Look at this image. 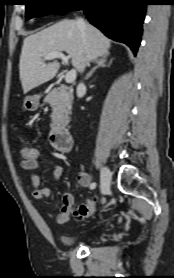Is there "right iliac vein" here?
Wrapping results in <instances>:
<instances>
[{"label":"right iliac vein","mask_w":174,"mask_h":278,"mask_svg":"<svg viewBox=\"0 0 174 278\" xmlns=\"http://www.w3.org/2000/svg\"><path fill=\"white\" fill-rule=\"evenodd\" d=\"M111 186V173L107 167H103L101 171V192L107 194Z\"/></svg>","instance_id":"obj_1"}]
</instances>
